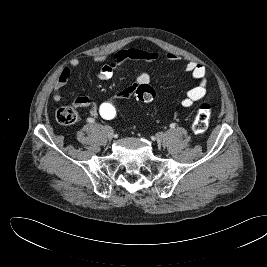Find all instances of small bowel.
I'll return each mask as SVG.
<instances>
[{
	"mask_svg": "<svg viewBox=\"0 0 267 267\" xmlns=\"http://www.w3.org/2000/svg\"><path fill=\"white\" fill-rule=\"evenodd\" d=\"M158 53L155 51L130 48L120 49L110 55L109 60L104 62L97 72L96 76L100 80H108L112 78L115 67L127 60H146L152 61L158 58ZM167 61H175L178 56L168 53L165 56ZM104 58L97 57V62H103ZM78 66V61L73 60L68 66H66L60 73L57 81L54 84L53 99L56 102L62 100V89L69 81L72 73ZM185 71L191 74V76L198 81V84L190 89L185 97L182 99V105L184 107H191L196 101L204 98L207 93V80L204 66L195 62H188L185 65ZM150 82V74L146 71L140 72L135 77V83L128 86L117 93H115L121 100L130 98L135 93V88L140 84H148ZM73 105L76 108L88 107L92 115L97 114V102L88 96H80L75 99Z\"/></svg>",
	"mask_w": 267,
	"mask_h": 267,
	"instance_id": "obj_1",
	"label": "small bowel"
}]
</instances>
